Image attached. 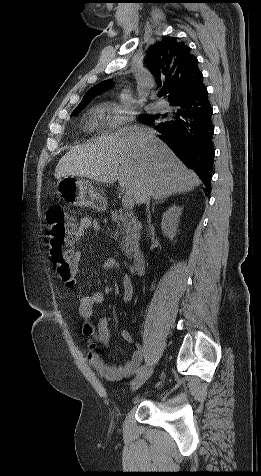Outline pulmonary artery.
<instances>
[{"instance_id": "e3ab8cb5", "label": "pulmonary artery", "mask_w": 261, "mask_h": 476, "mask_svg": "<svg viewBox=\"0 0 261 476\" xmlns=\"http://www.w3.org/2000/svg\"><path fill=\"white\" fill-rule=\"evenodd\" d=\"M156 108L160 111H166L167 110V105L164 102H157Z\"/></svg>"}]
</instances>
